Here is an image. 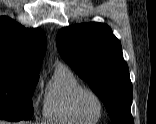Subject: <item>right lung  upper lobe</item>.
<instances>
[{
	"mask_svg": "<svg viewBox=\"0 0 156 124\" xmlns=\"http://www.w3.org/2000/svg\"><path fill=\"white\" fill-rule=\"evenodd\" d=\"M47 47L42 29H29L0 17V68L39 73Z\"/></svg>",
	"mask_w": 156,
	"mask_h": 124,
	"instance_id": "right-lung-upper-lobe-1",
	"label": "right lung upper lobe"
}]
</instances>
